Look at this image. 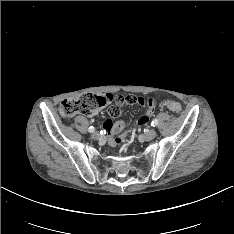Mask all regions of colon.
<instances>
[{
	"instance_id": "1",
	"label": "colon",
	"mask_w": 234,
	"mask_h": 234,
	"mask_svg": "<svg viewBox=\"0 0 234 234\" xmlns=\"http://www.w3.org/2000/svg\"><path fill=\"white\" fill-rule=\"evenodd\" d=\"M106 97H109L111 99L110 103H112V96L110 94L85 93L65 99L59 106V113L64 118H70L77 114L91 115L100 109H108L110 103L106 104L104 102ZM166 105L176 114H179L182 110L181 105L175 101H167Z\"/></svg>"
}]
</instances>
